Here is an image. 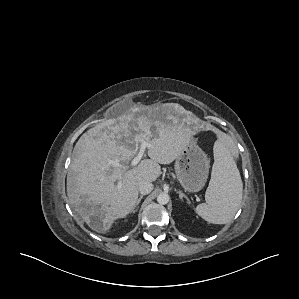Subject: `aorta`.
<instances>
[{
	"label": "aorta",
	"instance_id": "1",
	"mask_svg": "<svg viewBox=\"0 0 299 299\" xmlns=\"http://www.w3.org/2000/svg\"><path fill=\"white\" fill-rule=\"evenodd\" d=\"M169 195L168 193L162 192L157 196V202L161 205H165L169 202Z\"/></svg>",
	"mask_w": 299,
	"mask_h": 299
}]
</instances>
